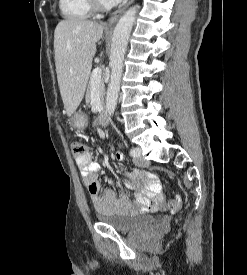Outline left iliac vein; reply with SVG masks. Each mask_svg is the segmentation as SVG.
Here are the masks:
<instances>
[{"mask_svg":"<svg viewBox=\"0 0 247 275\" xmlns=\"http://www.w3.org/2000/svg\"><path fill=\"white\" fill-rule=\"evenodd\" d=\"M135 151H136V153H137V155L135 156V164L137 165V166H140V167H146V166H148V161H146L143 157H142V155H141V149L139 148V147H135V148H133Z\"/></svg>","mask_w":247,"mask_h":275,"instance_id":"obj_1","label":"left iliac vein"}]
</instances>
